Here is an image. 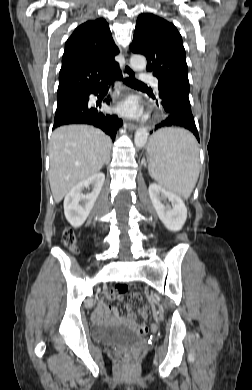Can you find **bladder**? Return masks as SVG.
Listing matches in <instances>:
<instances>
[{"label":"bladder","mask_w":252,"mask_h":390,"mask_svg":"<svg viewBox=\"0 0 252 390\" xmlns=\"http://www.w3.org/2000/svg\"><path fill=\"white\" fill-rule=\"evenodd\" d=\"M94 340L105 344L134 345L141 341L130 330L117 325H96Z\"/></svg>","instance_id":"31cf9c89"}]
</instances>
